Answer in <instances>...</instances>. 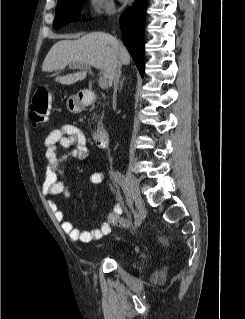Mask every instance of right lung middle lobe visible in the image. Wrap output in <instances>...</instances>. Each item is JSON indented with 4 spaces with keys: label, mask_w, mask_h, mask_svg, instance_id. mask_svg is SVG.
I'll list each match as a JSON object with an SVG mask.
<instances>
[{
    "label": "right lung middle lobe",
    "mask_w": 245,
    "mask_h": 319,
    "mask_svg": "<svg viewBox=\"0 0 245 319\" xmlns=\"http://www.w3.org/2000/svg\"><path fill=\"white\" fill-rule=\"evenodd\" d=\"M83 0H58L56 16L53 23L54 29H59L70 21L80 16V8Z\"/></svg>",
    "instance_id": "dd1d6c3e"
}]
</instances>
